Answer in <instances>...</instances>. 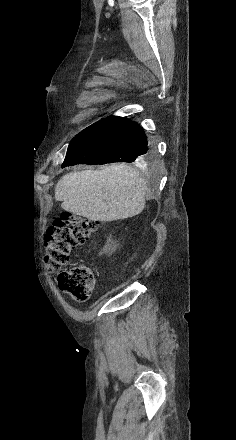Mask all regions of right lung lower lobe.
<instances>
[{"label":"right lung lower lobe","instance_id":"98d812e1","mask_svg":"<svg viewBox=\"0 0 236 440\" xmlns=\"http://www.w3.org/2000/svg\"><path fill=\"white\" fill-rule=\"evenodd\" d=\"M149 154L144 130L123 117L104 118L75 136L62 167L76 164L140 162Z\"/></svg>","mask_w":236,"mask_h":440}]
</instances>
